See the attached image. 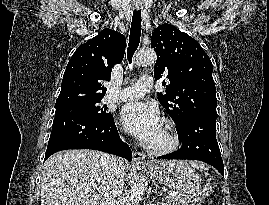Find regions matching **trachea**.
<instances>
[{
  "label": "trachea",
  "instance_id": "1",
  "mask_svg": "<svg viewBox=\"0 0 269 205\" xmlns=\"http://www.w3.org/2000/svg\"><path fill=\"white\" fill-rule=\"evenodd\" d=\"M141 21H142L141 10H134L127 50V57L130 64L132 63V57L140 43Z\"/></svg>",
  "mask_w": 269,
  "mask_h": 205
}]
</instances>
